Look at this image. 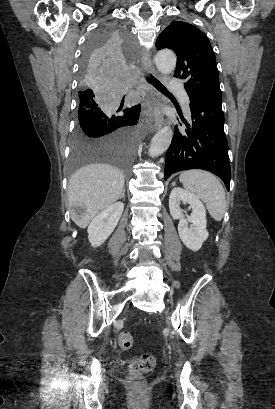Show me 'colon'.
Segmentation results:
<instances>
[{
    "label": "colon",
    "instance_id": "1",
    "mask_svg": "<svg viewBox=\"0 0 275 409\" xmlns=\"http://www.w3.org/2000/svg\"><path fill=\"white\" fill-rule=\"evenodd\" d=\"M118 345L123 349H130L134 345V337L129 331L120 333L117 339ZM155 366V359L149 353H144L131 361L129 366V377L138 381L149 374Z\"/></svg>",
    "mask_w": 275,
    "mask_h": 409
}]
</instances>
